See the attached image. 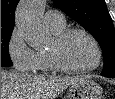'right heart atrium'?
Instances as JSON below:
<instances>
[{
    "label": "right heart atrium",
    "mask_w": 115,
    "mask_h": 99,
    "mask_svg": "<svg viewBox=\"0 0 115 99\" xmlns=\"http://www.w3.org/2000/svg\"><path fill=\"white\" fill-rule=\"evenodd\" d=\"M7 52L14 67L21 72L35 70L37 55L26 43L22 31L15 27L7 42Z\"/></svg>",
    "instance_id": "d8ad5b80"
}]
</instances>
